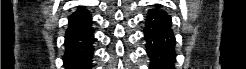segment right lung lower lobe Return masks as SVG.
Returning a JSON list of instances; mask_svg holds the SVG:
<instances>
[{"label":"right lung lower lobe","mask_w":246,"mask_h":69,"mask_svg":"<svg viewBox=\"0 0 246 69\" xmlns=\"http://www.w3.org/2000/svg\"><path fill=\"white\" fill-rule=\"evenodd\" d=\"M91 15L88 10L80 7L69 17V27L65 34L66 69H91L94 48V31Z\"/></svg>","instance_id":"98d812e1"}]
</instances>
